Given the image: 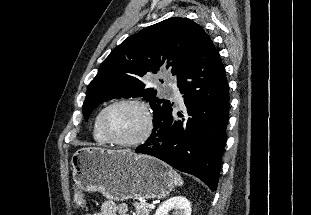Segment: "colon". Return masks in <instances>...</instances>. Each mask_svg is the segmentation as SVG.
Segmentation results:
<instances>
[{
    "label": "colon",
    "instance_id": "obj_1",
    "mask_svg": "<svg viewBox=\"0 0 311 215\" xmlns=\"http://www.w3.org/2000/svg\"><path fill=\"white\" fill-rule=\"evenodd\" d=\"M86 198L85 194L81 190H76L73 195V205L76 208H81L85 205Z\"/></svg>",
    "mask_w": 311,
    "mask_h": 215
}]
</instances>
